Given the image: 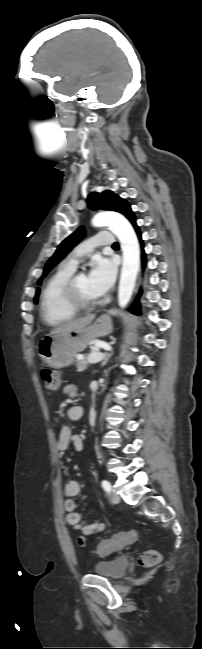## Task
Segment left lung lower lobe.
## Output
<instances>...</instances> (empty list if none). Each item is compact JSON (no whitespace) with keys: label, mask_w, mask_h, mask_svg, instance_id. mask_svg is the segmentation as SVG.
Here are the masks:
<instances>
[{"label":"left lung lower lobe","mask_w":202,"mask_h":649,"mask_svg":"<svg viewBox=\"0 0 202 649\" xmlns=\"http://www.w3.org/2000/svg\"><path fill=\"white\" fill-rule=\"evenodd\" d=\"M129 221L133 225V227H134V229H135V231H136V233H137V235H138V237L140 239V243L142 244L141 232H140L139 226L136 224L135 215H132L130 217ZM142 261H143V267H144L145 266V253H144V251H142ZM130 311L135 315H140V306H139L138 301H136L134 303V305L131 307Z\"/></svg>","instance_id":"obj_1"}]
</instances>
